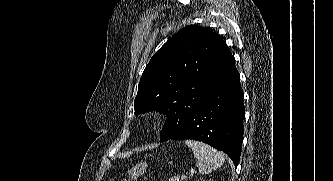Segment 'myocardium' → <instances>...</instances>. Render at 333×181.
<instances>
[{
    "label": "myocardium",
    "instance_id": "1",
    "mask_svg": "<svg viewBox=\"0 0 333 181\" xmlns=\"http://www.w3.org/2000/svg\"><path fill=\"white\" fill-rule=\"evenodd\" d=\"M150 123H154V120H150Z\"/></svg>",
    "mask_w": 333,
    "mask_h": 181
}]
</instances>
